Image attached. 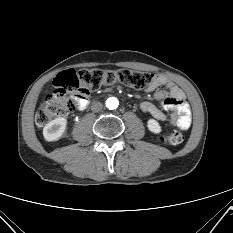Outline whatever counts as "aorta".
I'll return each mask as SVG.
<instances>
[{"label":"aorta","instance_id":"obj_1","mask_svg":"<svg viewBox=\"0 0 233 233\" xmlns=\"http://www.w3.org/2000/svg\"><path fill=\"white\" fill-rule=\"evenodd\" d=\"M119 105V101L117 98L115 97H109L107 100H106V107L110 110H114L118 107Z\"/></svg>","mask_w":233,"mask_h":233}]
</instances>
